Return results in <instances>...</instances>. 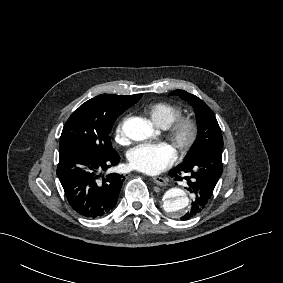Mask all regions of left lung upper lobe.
I'll list each match as a JSON object with an SVG mask.
<instances>
[{
	"mask_svg": "<svg viewBox=\"0 0 283 283\" xmlns=\"http://www.w3.org/2000/svg\"><path fill=\"white\" fill-rule=\"evenodd\" d=\"M172 95L180 96L182 99L188 101L194 108L197 118L198 135L191 152L185 158V162L190 161L203 152L211 149H222L223 138L221 129L214 116L212 110L208 105L184 90H175L171 92Z\"/></svg>",
	"mask_w": 283,
	"mask_h": 283,
	"instance_id": "left-lung-upper-lobe-1",
	"label": "left lung upper lobe"
}]
</instances>
